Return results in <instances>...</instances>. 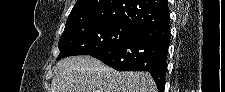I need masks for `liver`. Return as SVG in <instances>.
I'll use <instances>...</instances> for the list:
<instances>
[{"label":"liver","mask_w":225,"mask_h":92,"mask_svg":"<svg viewBox=\"0 0 225 92\" xmlns=\"http://www.w3.org/2000/svg\"><path fill=\"white\" fill-rule=\"evenodd\" d=\"M148 72H119L91 56H73L54 69L52 92H156Z\"/></svg>","instance_id":"obj_1"}]
</instances>
